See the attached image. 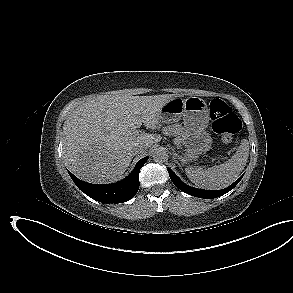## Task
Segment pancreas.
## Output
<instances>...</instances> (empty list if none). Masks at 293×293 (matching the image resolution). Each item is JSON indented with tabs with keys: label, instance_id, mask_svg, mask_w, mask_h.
<instances>
[{
	"label": "pancreas",
	"instance_id": "1",
	"mask_svg": "<svg viewBox=\"0 0 293 293\" xmlns=\"http://www.w3.org/2000/svg\"><path fill=\"white\" fill-rule=\"evenodd\" d=\"M164 132L168 136H174L176 144H180L184 140V128L179 124L166 127Z\"/></svg>",
	"mask_w": 293,
	"mask_h": 293
}]
</instances>
